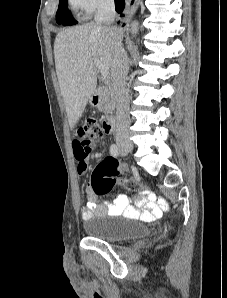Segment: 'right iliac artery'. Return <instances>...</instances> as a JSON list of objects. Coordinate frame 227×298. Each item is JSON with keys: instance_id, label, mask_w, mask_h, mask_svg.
<instances>
[{"instance_id": "obj_1", "label": "right iliac artery", "mask_w": 227, "mask_h": 298, "mask_svg": "<svg viewBox=\"0 0 227 298\" xmlns=\"http://www.w3.org/2000/svg\"><path fill=\"white\" fill-rule=\"evenodd\" d=\"M110 153L113 157H117L119 155V149L116 144H112L110 147Z\"/></svg>"}]
</instances>
